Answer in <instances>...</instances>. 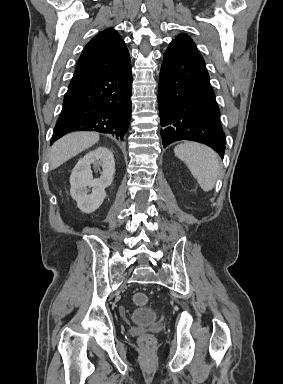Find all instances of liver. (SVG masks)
<instances>
[{
	"label": "liver",
	"mask_w": 283,
	"mask_h": 384,
	"mask_svg": "<svg viewBox=\"0 0 283 384\" xmlns=\"http://www.w3.org/2000/svg\"><path fill=\"white\" fill-rule=\"evenodd\" d=\"M99 142L97 132H73L54 142L50 152V170H55L70 158H74L83 150H88Z\"/></svg>",
	"instance_id": "1"
}]
</instances>
